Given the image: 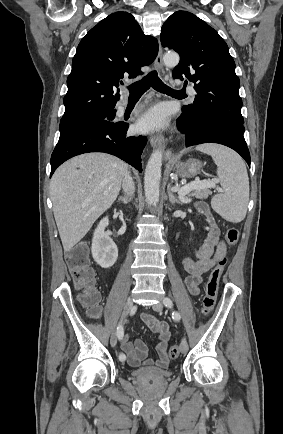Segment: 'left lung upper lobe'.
Wrapping results in <instances>:
<instances>
[{"label":"left lung upper lobe","instance_id":"obj_1","mask_svg":"<svg viewBox=\"0 0 283 434\" xmlns=\"http://www.w3.org/2000/svg\"><path fill=\"white\" fill-rule=\"evenodd\" d=\"M160 39L162 46L180 55L173 78L193 82L197 92L193 104L183 106L180 116L189 127L217 116L243 124L235 63L217 31L194 14L177 11L163 24Z\"/></svg>","mask_w":283,"mask_h":434}]
</instances>
